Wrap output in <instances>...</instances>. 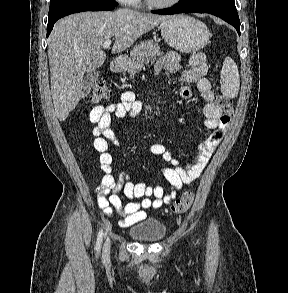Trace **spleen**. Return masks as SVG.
<instances>
[{"instance_id":"1","label":"spleen","mask_w":288,"mask_h":293,"mask_svg":"<svg viewBox=\"0 0 288 293\" xmlns=\"http://www.w3.org/2000/svg\"><path fill=\"white\" fill-rule=\"evenodd\" d=\"M240 79L236 63L226 57L221 70V92L228 98H235L239 92Z\"/></svg>"}]
</instances>
